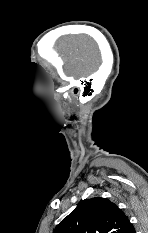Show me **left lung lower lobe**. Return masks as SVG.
Segmentation results:
<instances>
[{
    "mask_svg": "<svg viewBox=\"0 0 148 233\" xmlns=\"http://www.w3.org/2000/svg\"><path fill=\"white\" fill-rule=\"evenodd\" d=\"M128 233H135V229L134 227L130 229V231Z\"/></svg>",
    "mask_w": 148,
    "mask_h": 233,
    "instance_id": "1",
    "label": "left lung lower lobe"
}]
</instances>
